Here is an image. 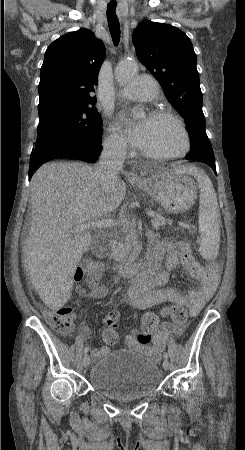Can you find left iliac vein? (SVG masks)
Masks as SVG:
<instances>
[{
  "label": "left iliac vein",
  "mask_w": 245,
  "mask_h": 450,
  "mask_svg": "<svg viewBox=\"0 0 245 450\" xmlns=\"http://www.w3.org/2000/svg\"><path fill=\"white\" fill-rule=\"evenodd\" d=\"M169 367H170L169 362H168L167 360H165V361L163 362V369H164L165 371H168V370H169Z\"/></svg>",
  "instance_id": "4c4485c4"
}]
</instances>
